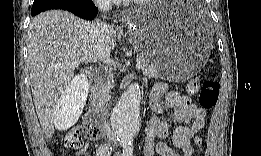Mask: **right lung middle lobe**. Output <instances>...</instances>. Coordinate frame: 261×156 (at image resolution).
<instances>
[{
  "label": "right lung middle lobe",
  "mask_w": 261,
  "mask_h": 156,
  "mask_svg": "<svg viewBox=\"0 0 261 156\" xmlns=\"http://www.w3.org/2000/svg\"><path fill=\"white\" fill-rule=\"evenodd\" d=\"M63 0H34L33 7L59 3Z\"/></svg>",
  "instance_id": "obj_1"
}]
</instances>
